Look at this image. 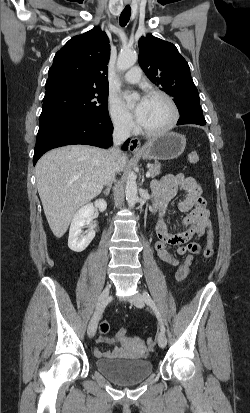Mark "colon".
Wrapping results in <instances>:
<instances>
[{
	"label": "colon",
	"mask_w": 250,
	"mask_h": 413,
	"mask_svg": "<svg viewBox=\"0 0 250 413\" xmlns=\"http://www.w3.org/2000/svg\"><path fill=\"white\" fill-rule=\"evenodd\" d=\"M187 160L190 164H195L199 161V157L196 153H190L187 157ZM212 255H213V245L209 240H207L204 251H203V256L205 259H209ZM119 326L121 327L122 325L120 324ZM108 331H109V323L107 321H102L99 325V332L101 334H106ZM127 332L128 331L126 328L124 327L119 328L115 335V340L126 339L128 336ZM147 346L149 348H154L155 339L151 337L148 338Z\"/></svg>",
	"instance_id": "5ec220e1"
}]
</instances>
